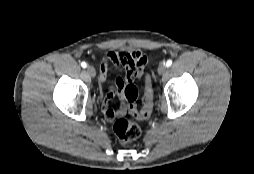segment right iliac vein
Masks as SVG:
<instances>
[{
    "label": "right iliac vein",
    "instance_id": "obj_1",
    "mask_svg": "<svg viewBox=\"0 0 254 174\" xmlns=\"http://www.w3.org/2000/svg\"><path fill=\"white\" fill-rule=\"evenodd\" d=\"M86 72L91 76V77H95L96 75V71L92 66H87L86 67Z\"/></svg>",
    "mask_w": 254,
    "mask_h": 174
}]
</instances>
